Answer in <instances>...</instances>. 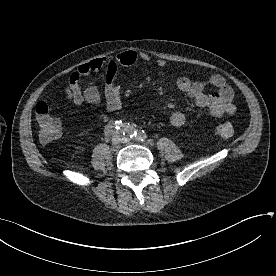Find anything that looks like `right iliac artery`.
I'll list each match as a JSON object with an SVG mask.
<instances>
[{
	"label": "right iliac artery",
	"mask_w": 276,
	"mask_h": 276,
	"mask_svg": "<svg viewBox=\"0 0 276 276\" xmlns=\"http://www.w3.org/2000/svg\"><path fill=\"white\" fill-rule=\"evenodd\" d=\"M115 130L120 131L123 135L130 138L134 137L136 134V129L129 123H123L121 120L109 123L104 130L106 137L111 136Z\"/></svg>",
	"instance_id": "obj_1"
}]
</instances>
